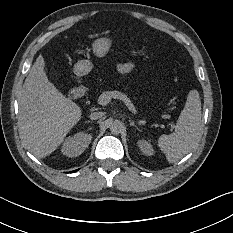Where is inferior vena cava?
Instances as JSON below:
<instances>
[{
    "label": "inferior vena cava",
    "mask_w": 233,
    "mask_h": 233,
    "mask_svg": "<svg viewBox=\"0 0 233 233\" xmlns=\"http://www.w3.org/2000/svg\"><path fill=\"white\" fill-rule=\"evenodd\" d=\"M104 115V112L102 111H96L90 114V119L92 120H98Z\"/></svg>",
    "instance_id": "602c4592"
}]
</instances>
